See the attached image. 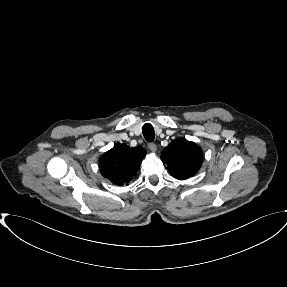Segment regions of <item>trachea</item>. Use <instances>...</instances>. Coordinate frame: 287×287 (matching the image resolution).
<instances>
[{
    "label": "trachea",
    "mask_w": 287,
    "mask_h": 287,
    "mask_svg": "<svg viewBox=\"0 0 287 287\" xmlns=\"http://www.w3.org/2000/svg\"><path fill=\"white\" fill-rule=\"evenodd\" d=\"M142 133L146 141L152 142L155 138V131L150 123H146L142 127Z\"/></svg>",
    "instance_id": "obj_1"
}]
</instances>
